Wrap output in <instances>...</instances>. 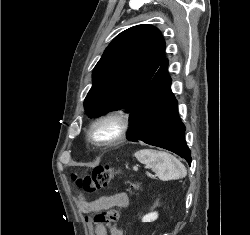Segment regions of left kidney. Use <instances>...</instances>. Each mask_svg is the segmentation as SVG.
I'll return each mask as SVG.
<instances>
[{
    "label": "left kidney",
    "mask_w": 250,
    "mask_h": 235,
    "mask_svg": "<svg viewBox=\"0 0 250 235\" xmlns=\"http://www.w3.org/2000/svg\"><path fill=\"white\" fill-rule=\"evenodd\" d=\"M158 218L157 212H151L143 216L142 222H153Z\"/></svg>",
    "instance_id": "5707ae66"
}]
</instances>
